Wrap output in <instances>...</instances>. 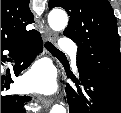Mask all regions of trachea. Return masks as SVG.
I'll return each mask as SVG.
<instances>
[{
  "label": "trachea",
  "instance_id": "trachea-1",
  "mask_svg": "<svg viewBox=\"0 0 121 113\" xmlns=\"http://www.w3.org/2000/svg\"><path fill=\"white\" fill-rule=\"evenodd\" d=\"M45 47L52 53L63 54L60 50H58L55 46H53L50 42H46Z\"/></svg>",
  "mask_w": 121,
  "mask_h": 113
}]
</instances>
